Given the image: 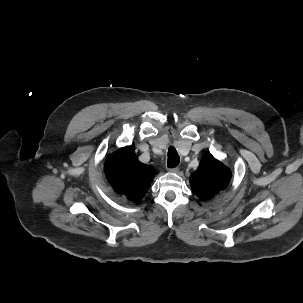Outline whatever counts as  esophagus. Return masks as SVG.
Here are the masks:
<instances>
[{
  "label": "esophagus",
  "mask_w": 303,
  "mask_h": 303,
  "mask_svg": "<svg viewBox=\"0 0 303 303\" xmlns=\"http://www.w3.org/2000/svg\"><path fill=\"white\" fill-rule=\"evenodd\" d=\"M169 170L171 172H174V173H178L179 172V168L178 167L170 168Z\"/></svg>",
  "instance_id": "obj_1"
}]
</instances>
